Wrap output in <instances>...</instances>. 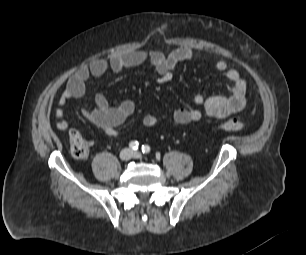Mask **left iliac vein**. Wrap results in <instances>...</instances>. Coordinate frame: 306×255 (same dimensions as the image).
<instances>
[{"instance_id":"obj_1","label":"left iliac vein","mask_w":306,"mask_h":255,"mask_svg":"<svg viewBox=\"0 0 306 255\" xmlns=\"http://www.w3.org/2000/svg\"><path fill=\"white\" fill-rule=\"evenodd\" d=\"M132 157L136 158V159H139V158L142 157V154L138 151H135V152H132Z\"/></svg>"}]
</instances>
